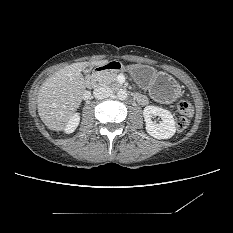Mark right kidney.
Listing matches in <instances>:
<instances>
[{"instance_id":"ca27d5eb","label":"right kidney","mask_w":233,"mask_h":233,"mask_svg":"<svg viewBox=\"0 0 233 233\" xmlns=\"http://www.w3.org/2000/svg\"><path fill=\"white\" fill-rule=\"evenodd\" d=\"M79 121L80 116L78 114H74L65 126V132L68 134L74 132L79 124Z\"/></svg>"}]
</instances>
